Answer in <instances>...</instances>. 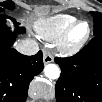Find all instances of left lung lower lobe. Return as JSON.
Returning a JSON list of instances; mask_svg holds the SVG:
<instances>
[{
	"mask_svg": "<svg viewBox=\"0 0 102 102\" xmlns=\"http://www.w3.org/2000/svg\"><path fill=\"white\" fill-rule=\"evenodd\" d=\"M61 75L55 87L58 102H102V35L76 55L55 58Z\"/></svg>",
	"mask_w": 102,
	"mask_h": 102,
	"instance_id": "obj_1",
	"label": "left lung lower lobe"
}]
</instances>
